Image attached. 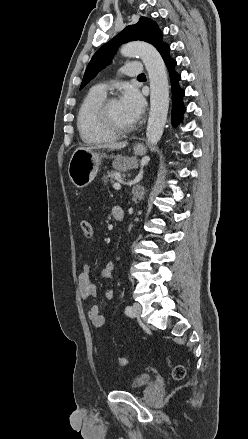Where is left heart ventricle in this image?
Instances as JSON below:
<instances>
[{"label": "left heart ventricle", "instance_id": "b2bd125f", "mask_svg": "<svg viewBox=\"0 0 248 439\" xmlns=\"http://www.w3.org/2000/svg\"><path fill=\"white\" fill-rule=\"evenodd\" d=\"M109 112L113 123L119 127H128L134 123L125 113L119 100L110 104Z\"/></svg>", "mask_w": 248, "mask_h": 439}]
</instances>
